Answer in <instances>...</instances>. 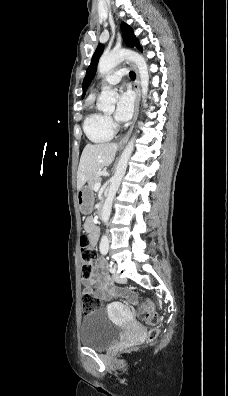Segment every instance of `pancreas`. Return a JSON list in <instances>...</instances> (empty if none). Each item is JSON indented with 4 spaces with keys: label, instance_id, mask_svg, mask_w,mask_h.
Here are the masks:
<instances>
[{
    "label": "pancreas",
    "instance_id": "obj_1",
    "mask_svg": "<svg viewBox=\"0 0 228 396\" xmlns=\"http://www.w3.org/2000/svg\"><path fill=\"white\" fill-rule=\"evenodd\" d=\"M101 180H102L101 176L98 173H96V174H94V176H92V178H90L88 180V185L93 190L94 189V185L96 183L101 182Z\"/></svg>",
    "mask_w": 228,
    "mask_h": 396
}]
</instances>
